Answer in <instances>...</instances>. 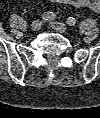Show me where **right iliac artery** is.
<instances>
[{"label":"right iliac artery","instance_id":"obj_1","mask_svg":"<svg viewBox=\"0 0 100 118\" xmlns=\"http://www.w3.org/2000/svg\"><path fill=\"white\" fill-rule=\"evenodd\" d=\"M56 15L53 13V12H45L43 15H42V19L45 20V21H50V20H53L55 19Z\"/></svg>","mask_w":100,"mask_h":118}]
</instances>
